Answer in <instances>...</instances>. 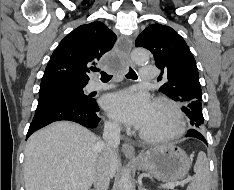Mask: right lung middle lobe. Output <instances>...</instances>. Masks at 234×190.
<instances>
[{
	"mask_svg": "<svg viewBox=\"0 0 234 190\" xmlns=\"http://www.w3.org/2000/svg\"><path fill=\"white\" fill-rule=\"evenodd\" d=\"M85 85L73 83L62 79H51L41 82L39 90L38 104L44 100L54 96H67L70 98H77L81 102L89 104L91 96H87L83 93L82 88Z\"/></svg>",
	"mask_w": 234,
	"mask_h": 190,
	"instance_id": "dd1d6c3e",
	"label": "right lung middle lobe"
}]
</instances>
